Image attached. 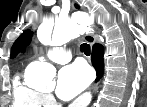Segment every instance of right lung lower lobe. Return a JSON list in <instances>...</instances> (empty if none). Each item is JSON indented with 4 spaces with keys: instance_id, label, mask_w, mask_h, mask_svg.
I'll list each match as a JSON object with an SVG mask.
<instances>
[{
    "instance_id": "obj_1",
    "label": "right lung lower lobe",
    "mask_w": 147,
    "mask_h": 107,
    "mask_svg": "<svg viewBox=\"0 0 147 107\" xmlns=\"http://www.w3.org/2000/svg\"><path fill=\"white\" fill-rule=\"evenodd\" d=\"M104 49L103 46L100 44H95L92 50V64L97 72V81L102 77L104 72Z\"/></svg>"
}]
</instances>
